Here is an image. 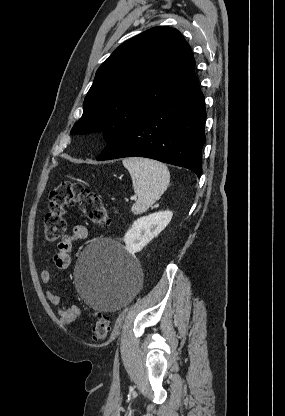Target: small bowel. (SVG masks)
I'll list each match as a JSON object with an SVG mask.
<instances>
[{"label": "small bowel", "mask_w": 285, "mask_h": 416, "mask_svg": "<svg viewBox=\"0 0 285 416\" xmlns=\"http://www.w3.org/2000/svg\"><path fill=\"white\" fill-rule=\"evenodd\" d=\"M87 235L88 228L85 225L78 224L74 226L70 234L66 235L63 240L57 244L53 262L58 269H66L69 267L71 263L70 253L73 246L78 241L85 239ZM40 277L43 283H49L52 279V274L49 269H44L42 270ZM46 296L51 304L59 307L57 314L60 323L68 325L76 322L80 318L81 310L75 303L62 305L61 296L53 289H49Z\"/></svg>", "instance_id": "obj_1"}]
</instances>
